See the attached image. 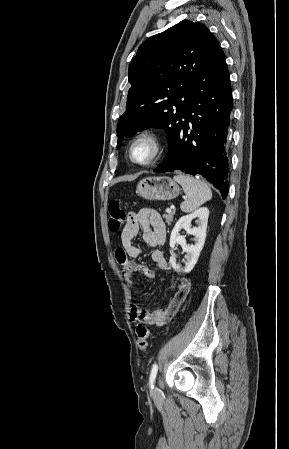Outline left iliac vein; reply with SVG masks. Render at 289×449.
I'll return each mask as SVG.
<instances>
[{
	"label": "left iliac vein",
	"instance_id": "left-iliac-vein-1",
	"mask_svg": "<svg viewBox=\"0 0 289 449\" xmlns=\"http://www.w3.org/2000/svg\"><path fill=\"white\" fill-rule=\"evenodd\" d=\"M154 397H159L160 393L157 387H155L154 391H153Z\"/></svg>",
	"mask_w": 289,
	"mask_h": 449
}]
</instances>
